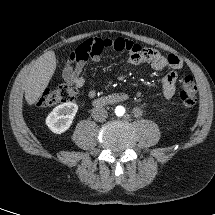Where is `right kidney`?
<instances>
[{"label":"right kidney","instance_id":"obj_1","mask_svg":"<svg viewBox=\"0 0 215 215\" xmlns=\"http://www.w3.org/2000/svg\"><path fill=\"white\" fill-rule=\"evenodd\" d=\"M77 110L78 105L75 103L60 104L47 116L46 125L53 133L62 134L72 125Z\"/></svg>","mask_w":215,"mask_h":215}]
</instances>
